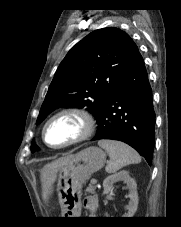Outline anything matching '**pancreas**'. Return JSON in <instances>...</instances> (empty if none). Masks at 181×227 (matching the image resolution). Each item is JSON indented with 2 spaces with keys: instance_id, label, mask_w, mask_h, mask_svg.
Wrapping results in <instances>:
<instances>
[{
  "instance_id": "obj_1",
  "label": "pancreas",
  "mask_w": 181,
  "mask_h": 227,
  "mask_svg": "<svg viewBox=\"0 0 181 227\" xmlns=\"http://www.w3.org/2000/svg\"><path fill=\"white\" fill-rule=\"evenodd\" d=\"M96 186L93 184H89L86 188L85 193L95 194Z\"/></svg>"
}]
</instances>
